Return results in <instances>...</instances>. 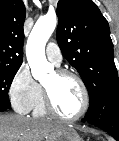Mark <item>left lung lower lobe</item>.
<instances>
[{
  "instance_id": "left-lung-lower-lobe-1",
  "label": "left lung lower lobe",
  "mask_w": 119,
  "mask_h": 141,
  "mask_svg": "<svg viewBox=\"0 0 119 141\" xmlns=\"http://www.w3.org/2000/svg\"><path fill=\"white\" fill-rule=\"evenodd\" d=\"M82 121L101 128L119 141V91L106 94L90 104Z\"/></svg>"
}]
</instances>
